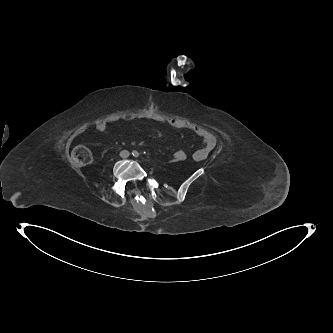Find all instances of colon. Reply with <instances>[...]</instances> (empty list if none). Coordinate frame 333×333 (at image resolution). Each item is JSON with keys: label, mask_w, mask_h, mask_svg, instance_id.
Masks as SVG:
<instances>
[{"label": "colon", "mask_w": 333, "mask_h": 333, "mask_svg": "<svg viewBox=\"0 0 333 333\" xmlns=\"http://www.w3.org/2000/svg\"><path fill=\"white\" fill-rule=\"evenodd\" d=\"M170 159L173 162L185 163L188 157L181 149H178L170 156ZM71 160L76 166H85L91 163L92 153L84 146H77L71 154Z\"/></svg>", "instance_id": "1"}]
</instances>
